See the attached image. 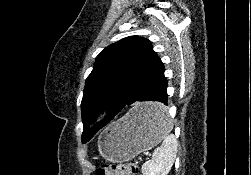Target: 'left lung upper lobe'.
<instances>
[{"label": "left lung upper lobe", "mask_w": 251, "mask_h": 175, "mask_svg": "<svg viewBox=\"0 0 251 175\" xmlns=\"http://www.w3.org/2000/svg\"><path fill=\"white\" fill-rule=\"evenodd\" d=\"M152 43L138 36L126 37L102 50L86 79L81 102L82 142H88L104 125L94 121V111L109 104H124L137 83L160 63Z\"/></svg>", "instance_id": "1"}]
</instances>
